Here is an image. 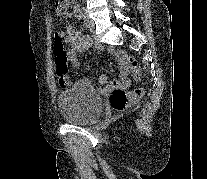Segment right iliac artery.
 Instances as JSON below:
<instances>
[{"label":"right iliac artery","instance_id":"1","mask_svg":"<svg viewBox=\"0 0 207 179\" xmlns=\"http://www.w3.org/2000/svg\"><path fill=\"white\" fill-rule=\"evenodd\" d=\"M74 14L79 20L84 16L81 7L78 5L74 7Z\"/></svg>","mask_w":207,"mask_h":179}]
</instances>
